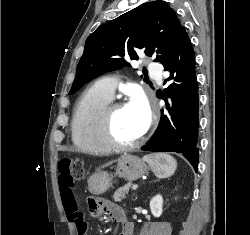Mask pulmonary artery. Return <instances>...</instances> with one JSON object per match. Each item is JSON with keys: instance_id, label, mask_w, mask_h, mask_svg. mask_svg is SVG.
I'll return each mask as SVG.
<instances>
[{"instance_id": "1", "label": "pulmonary artery", "mask_w": 250, "mask_h": 235, "mask_svg": "<svg viewBox=\"0 0 250 235\" xmlns=\"http://www.w3.org/2000/svg\"><path fill=\"white\" fill-rule=\"evenodd\" d=\"M149 69L151 75L161 82V69L156 64H150ZM94 85L100 92L112 98L117 87V80L113 77H105L97 80Z\"/></svg>"}]
</instances>
